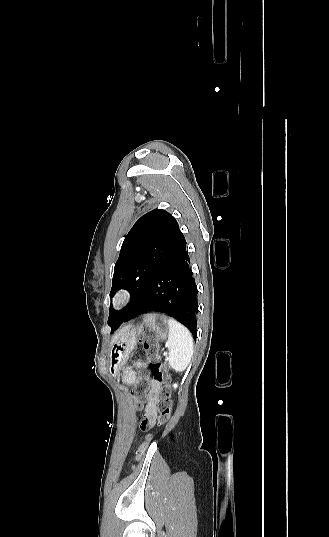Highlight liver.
<instances>
[{
    "label": "liver",
    "mask_w": 329,
    "mask_h": 537,
    "mask_svg": "<svg viewBox=\"0 0 329 537\" xmlns=\"http://www.w3.org/2000/svg\"><path fill=\"white\" fill-rule=\"evenodd\" d=\"M125 328H126V327H125ZM125 328L118 330V333H116V334L114 335V337L112 338V343L118 338V336L122 333V331H123Z\"/></svg>",
    "instance_id": "liver-1"
}]
</instances>
